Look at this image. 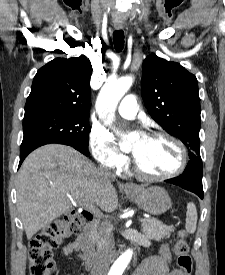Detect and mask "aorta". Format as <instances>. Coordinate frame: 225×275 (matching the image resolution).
<instances>
[{
    "instance_id": "obj_1",
    "label": "aorta",
    "mask_w": 225,
    "mask_h": 275,
    "mask_svg": "<svg viewBox=\"0 0 225 275\" xmlns=\"http://www.w3.org/2000/svg\"><path fill=\"white\" fill-rule=\"evenodd\" d=\"M133 83L132 76L121 77L117 80H107L103 85L96 102V109L105 124H112L116 107L130 89ZM130 145V137L123 136L120 147ZM133 255L131 249L124 252L112 265L109 275H122Z\"/></svg>"
}]
</instances>
